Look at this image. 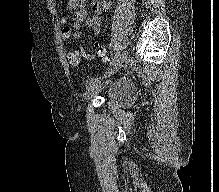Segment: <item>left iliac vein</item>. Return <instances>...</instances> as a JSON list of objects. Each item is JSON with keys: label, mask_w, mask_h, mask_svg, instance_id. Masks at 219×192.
<instances>
[{"label": "left iliac vein", "mask_w": 219, "mask_h": 192, "mask_svg": "<svg viewBox=\"0 0 219 192\" xmlns=\"http://www.w3.org/2000/svg\"><path fill=\"white\" fill-rule=\"evenodd\" d=\"M128 57V52L126 50L122 51L119 56L113 61L112 65L108 71L104 74V78H110L113 76L125 63ZM103 89V85L99 80H90L87 84V91L85 93L86 99H91L97 94H99Z\"/></svg>", "instance_id": "4c4485c4"}]
</instances>
